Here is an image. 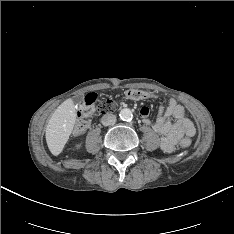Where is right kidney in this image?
<instances>
[{
  "label": "right kidney",
  "instance_id": "right-kidney-1",
  "mask_svg": "<svg viewBox=\"0 0 234 234\" xmlns=\"http://www.w3.org/2000/svg\"><path fill=\"white\" fill-rule=\"evenodd\" d=\"M75 147H76V149H79L80 148V144H76Z\"/></svg>",
  "mask_w": 234,
  "mask_h": 234
}]
</instances>
